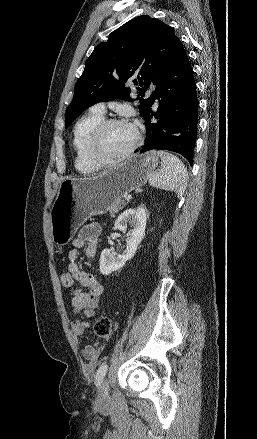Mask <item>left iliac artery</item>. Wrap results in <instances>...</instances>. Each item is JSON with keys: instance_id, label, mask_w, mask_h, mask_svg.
<instances>
[{"instance_id": "44dca946", "label": "left iliac artery", "mask_w": 257, "mask_h": 439, "mask_svg": "<svg viewBox=\"0 0 257 439\" xmlns=\"http://www.w3.org/2000/svg\"><path fill=\"white\" fill-rule=\"evenodd\" d=\"M107 370H108V365L106 364H103L98 368L95 376L97 386H100L102 379L106 375Z\"/></svg>"}]
</instances>
